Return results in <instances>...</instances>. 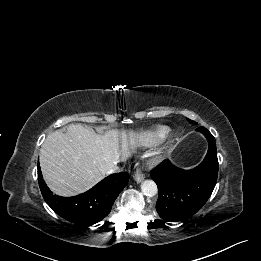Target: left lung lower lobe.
<instances>
[{"label":"left lung lower lobe","instance_id":"left-lung-lower-lobe-1","mask_svg":"<svg viewBox=\"0 0 261 261\" xmlns=\"http://www.w3.org/2000/svg\"><path fill=\"white\" fill-rule=\"evenodd\" d=\"M197 131L205 135L209 144L207 155L199 166L183 170L165 160L151 171L159 191L156 210L164 220L176 221L195 214L215 187L219 166L215 138L204 127Z\"/></svg>","mask_w":261,"mask_h":261}]
</instances>
